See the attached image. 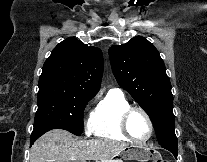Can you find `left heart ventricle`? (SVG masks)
I'll list each match as a JSON object with an SVG mask.
<instances>
[{
  "label": "left heart ventricle",
  "instance_id": "b2bd125f",
  "mask_svg": "<svg viewBox=\"0 0 207 162\" xmlns=\"http://www.w3.org/2000/svg\"><path fill=\"white\" fill-rule=\"evenodd\" d=\"M128 129L131 135L136 139H144L149 133L147 120L139 112H135L131 115L128 122Z\"/></svg>",
  "mask_w": 207,
  "mask_h": 162
}]
</instances>
